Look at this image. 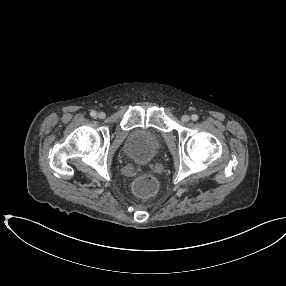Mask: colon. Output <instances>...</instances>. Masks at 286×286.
I'll return each mask as SVG.
<instances>
[{"label": "colon", "mask_w": 286, "mask_h": 286, "mask_svg": "<svg viewBox=\"0 0 286 286\" xmlns=\"http://www.w3.org/2000/svg\"><path fill=\"white\" fill-rule=\"evenodd\" d=\"M158 188V182L155 177L149 174L140 176L133 185L134 192L142 197L152 196Z\"/></svg>", "instance_id": "5ec220e1"}]
</instances>
